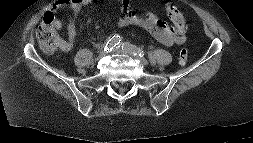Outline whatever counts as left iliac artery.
I'll use <instances>...</instances> for the list:
<instances>
[{"instance_id": "1", "label": "left iliac artery", "mask_w": 253, "mask_h": 143, "mask_svg": "<svg viewBox=\"0 0 253 143\" xmlns=\"http://www.w3.org/2000/svg\"><path fill=\"white\" fill-rule=\"evenodd\" d=\"M132 47L134 55H139L140 57L144 56V51L141 48L136 47L135 45H131L128 42H124L122 44V48Z\"/></svg>"}]
</instances>
